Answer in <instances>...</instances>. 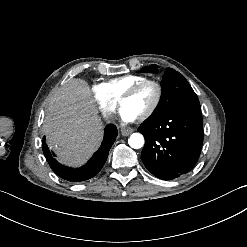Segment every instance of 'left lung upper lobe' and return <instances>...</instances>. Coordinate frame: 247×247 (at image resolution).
I'll return each instance as SVG.
<instances>
[{
	"instance_id": "obj_1",
	"label": "left lung upper lobe",
	"mask_w": 247,
	"mask_h": 247,
	"mask_svg": "<svg viewBox=\"0 0 247 247\" xmlns=\"http://www.w3.org/2000/svg\"><path fill=\"white\" fill-rule=\"evenodd\" d=\"M157 65L142 68L140 72H157ZM179 108L201 110L197 95L188 81L177 71L167 68L162 80L161 100L149 119Z\"/></svg>"
}]
</instances>
